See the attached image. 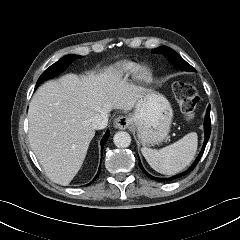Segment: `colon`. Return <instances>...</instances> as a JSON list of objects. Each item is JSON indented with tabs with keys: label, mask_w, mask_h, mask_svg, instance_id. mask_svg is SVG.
Wrapping results in <instances>:
<instances>
[{
	"label": "colon",
	"mask_w": 240,
	"mask_h": 240,
	"mask_svg": "<svg viewBox=\"0 0 240 240\" xmlns=\"http://www.w3.org/2000/svg\"><path fill=\"white\" fill-rule=\"evenodd\" d=\"M173 93L180 102L181 110L187 119L197 114L199 97L195 86L190 82L177 81L172 86Z\"/></svg>",
	"instance_id": "1"
}]
</instances>
